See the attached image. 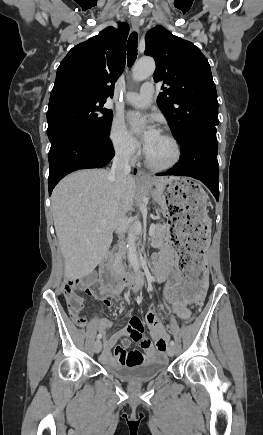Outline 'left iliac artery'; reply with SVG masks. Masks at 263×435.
<instances>
[{
  "label": "left iliac artery",
  "instance_id": "1",
  "mask_svg": "<svg viewBox=\"0 0 263 435\" xmlns=\"http://www.w3.org/2000/svg\"><path fill=\"white\" fill-rule=\"evenodd\" d=\"M170 345H171V346H174V345H175V342L172 340V341L170 342Z\"/></svg>",
  "mask_w": 263,
  "mask_h": 435
}]
</instances>
